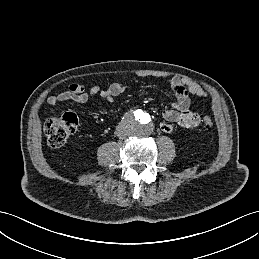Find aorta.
Returning a JSON list of instances; mask_svg holds the SVG:
<instances>
[{"mask_svg": "<svg viewBox=\"0 0 259 259\" xmlns=\"http://www.w3.org/2000/svg\"><path fill=\"white\" fill-rule=\"evenodd\" d=\"M129 133L136 137H144L152 133L153 119L150 112L138 109L128 117Z\"/></svg>", "mask_w": 259, "mask_h": 259, "instance_id": "762f6f07", "label": "aorta"}]
</instances>
